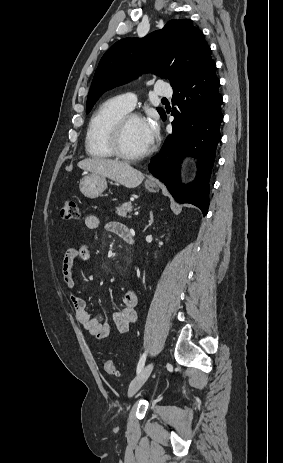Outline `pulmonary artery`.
Masks as SVG:
<instances>
[{
  "label": "pulmonary artery",
  "mask_w": 283,
  "mask_h": 463,
  "mask_svg": "<svg viewBox=\"0 0 283 463\" xmlns=\"http://www.w3.org/2000/svg\"><path fill=\"white\" fill-rule=\"evenodd\" d=\"M154 92L157 96L161 98H169L172 96L173 91L172 89L167 86L165 83H157L154 86ZM121 99L122 104L128 109L132 110L136 104L137 96L132 92H127L119 96Z\"/></svg>",
  "instance_id": "obj_1"
}]
</instances>
